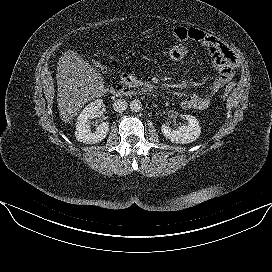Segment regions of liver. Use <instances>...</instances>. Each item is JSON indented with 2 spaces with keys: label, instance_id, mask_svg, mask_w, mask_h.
Segmentation results:
<instances>
[{
  "label": "liver",
  "instance_id": "obj_1",
  "mask_svg": "<svg viewBox=\"0 0 272 272\" xmlns=\"http://www.w3.org/2000/svg\"><path fill=\"white\" fill-rule=\"evenodd\" d=\"M56 79L58 109L65 123L73 120L88 101L105 93L102 74L76 51L68 50L60 57Z\"/></svg>",
  "mask_w": 272,
  "mask_h": 272
}]
</instances>
